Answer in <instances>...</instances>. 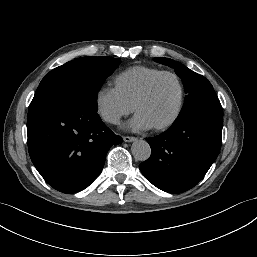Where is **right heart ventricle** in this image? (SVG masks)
Masks as SVG:
<instances>
[{
  "mask_svg": "<svg viewBox=\"0 0 257 257\" xmlns=\"http://www.w3.org/2000/svg\"><path fill=\"white\" fill-rule=\"evenodd\" d=\"M162 71L158 68L146 66L131 67L116 76L115 87L133 105L146 84Z\"/></svg>",
  "mask_w": 257,
  "mask_h": 257,
  "instance_id": "right-heart-ventricle-1",
  "label": "right heart ventricle"
}]
</instances>
